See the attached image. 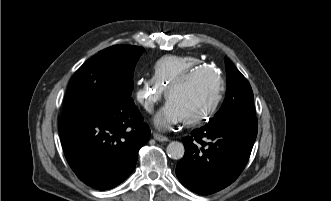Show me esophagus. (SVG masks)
Instances as JSON below:
<instances>
[{
    "label": "esophagus",
    "mask_w": 331,
    "mask_h": 201,
    "mask_svg": "<svg viewBox=\"0 0 331 201\" xmlns=\"http://www.w3.org/2000/svg\"><path fill=\"white\" fill-rule=\"evenodd\" d=\"M153 137L155 140L160 141V142L168 141V138L166 136H163L158 133H153Z\"/></svg>",
    "instance_id": "34e87169"
}]
</instances>
